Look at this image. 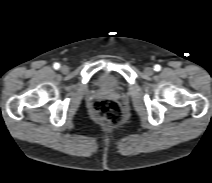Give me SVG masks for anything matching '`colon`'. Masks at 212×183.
Instances as JSON below:
<instances>
[{
    "label": "colon",
    "instance_id": "colon-1",
    "mask_svg": "<svg viewBox=\"0 0 212 183\" xmlns=\"http://www.w3.org/2000/svg\"><path fill=\"white\" fill-rule=\"evenodd\" d=\"M92 112L96 119L109 126L117 125L123 120L122 109L115 100L102 99L95 101Z\"/></svg>",
    "mask_w": 212,
    "mask_h": 183
}]
</instances>
